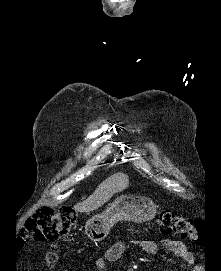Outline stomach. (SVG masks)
Segmentation results:
<instances>
[{
  "mask_svg": "<svg viewBox=\"0 0 221 271\" xmlns=\"http://www.w3.org/2000/svg\"><path fill=\"white\" fill-rule=\"evenodd\" d=\"M149 207H152L150 197H119L103 213L93 215L86 221L85 233L92 241H100L120 219L148 221L155 213V208Z\"/></svg>",
  "mask_w": 221,
  "mask_h": 271,
  "instance_id": "0dacf381",
  "label": "stomach"
}]
</instances>
